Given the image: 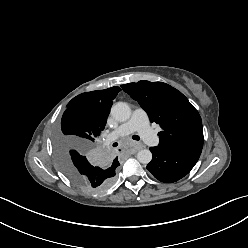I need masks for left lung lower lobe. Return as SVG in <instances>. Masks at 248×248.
Wrapping results in <instances>:
<instances>
[{"mask_svg":"<svg viewBox=\"0 0 248 248\" xmlns=\"http://www.w3.org/2000/svg\"><path fill=\"white\" fill-rule=\"evenodd\" d=\"M202 147L203 143H189L170 148L151 147L153 158L147 169L161 182L178 181L194 167Z\"/></svg>","mask_w":248,"mask_h":248,"instance_id":"left-lung-lower-lobe-1","label":"left lung lower lobe"}]
</instances>
